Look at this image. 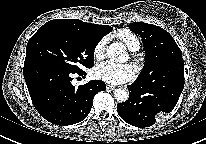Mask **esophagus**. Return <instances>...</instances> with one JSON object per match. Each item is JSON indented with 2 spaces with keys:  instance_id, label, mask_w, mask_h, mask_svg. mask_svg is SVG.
<instances>
[{
  "instance_id": "esophagus-1",
  "label": "esophagus",
  "mask_w": 206,
  "mask_h": 144,
  "mask_svg": "<svg viewBox=\"0 0 206 144\" xmlns=\"http://www.w3.org/2000/svg\"><path fill=\"white\" fill-rule=\"evenodd\" d=\"M115 86H112V85H107V89H109V90H115Z\"/></svg>"
}]
</instances>
